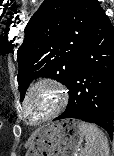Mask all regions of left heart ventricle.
Returning <instances> with one entry per match:
<instances>
[{
  "label": "left heart ventricle",
  "instance_id": "left-heart-ventricle-1",
  "mask_svg": "<svg viewBox=\"0 0 114 156\" xmlns=\"http://www.w3.org/2000/svg\"><path fill=\"white\" fill-rule=\"evenodd\" d=\"M54 105V97L48 89L38 90L31 99L29 110L32 118L48 113Z\"/></svg>",
  "mask_w": 114,
  "mask_h": 156
}]
</instances>
